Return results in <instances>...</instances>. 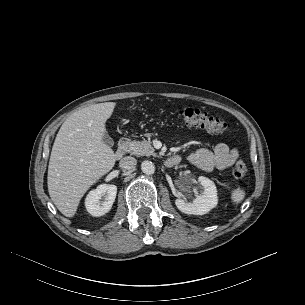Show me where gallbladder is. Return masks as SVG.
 Listing matches in <instances>:
<instances>
[{"instance_id": "obj_1", "label": "gallbladder", "mask_w": 305, "mask_h": 305, "mask_svg": "<svg viewBox=\"0 0 305 305\" xmlns=\"http://www.w3.org/2000/svg\"><path fill=\"white\" fill-rule=\"evenodd\" d=\"M102 141H103L106 145H108V146H110V147H112V146L114 145V141H113V139L109 136L108 133H105V134L103 135Z\"/></svg>"}]
</instances>
